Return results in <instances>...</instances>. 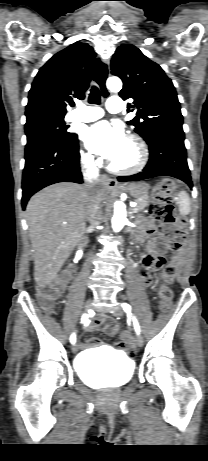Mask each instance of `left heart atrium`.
Listing matches in <instances>:
<instances>
[{
    "label": "left heart atrium",
    "instance_id": "1",
    "mask_svg": "<svg viewBox=\"0 0 208 461\" xmlns=\"http://www.w3.org/2000/svg\"><path fill=\"white\" fill-rule=\"evenodd\" d=\"M83 139L94 153L113 160L122 151L126 137L121 127L112 126L106 121L87 128Z\"/></svg>",
    "mask_w": 208,
    "mask_h": 461
}]
</instances>
